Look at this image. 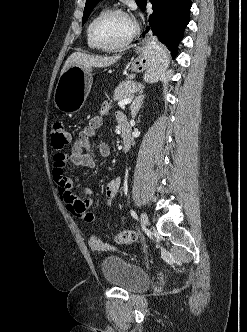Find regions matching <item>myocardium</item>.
<instances>
[{
	"mask_svg": "<svg viewBox=\"0 0 247 332\" xmlns=\"http://www.w3.org/2000/svg\"><path fill=\"white\" fill-rule=\"evenodd\" d=\"M115 14H121V15L129 17L133 22V30L130 33V35L121 43L115 44V45H108V44L103 43L98 38L96 29H97L98 24L102 20H104L105 18H107L109 16L115 15ZM138 31H139V28H138L137 23L129 16V14L126 11H124L120 8H111V9L104 10L92 21V23L90 25L91 39L100 49L107 50V51H117V50L124 49L134 40V38L138 34Z\"/></svg>",
	"mask_w": 247,
	"mask_h": 332,
	"instance_id": "obj_1",
	"label": "myocardium"
}]
</instances>
